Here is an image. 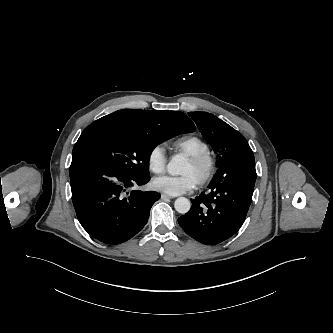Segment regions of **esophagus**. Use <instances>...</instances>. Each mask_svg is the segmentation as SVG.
Masks as SVG:
<instances>
[{
  "instance_id": "esophagus-1",
  "label": "esophagus",
  "mask_w": 333,
  "mask_h": 333,
  "mask_svg": "<svg viewBox=\"0 0 333 333\" xmlns=\"http://www.w3.org/2000/svg\"><path fill=\"white\" fill-rule=\"evenodd\" d=\"M161 199H163V200H169V199H172V197L169 196V195H166V194H161Z\"/></svg>"
}]
</instances>
